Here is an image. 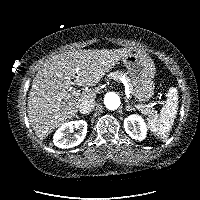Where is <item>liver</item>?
<instances>
[{
  "instance_id": "obj_1",
  "label": "liver",
  "mask_w": 200,
  "mask_h": 200,
  "mask_svg": "<svg viewBox=\"0 0 200 200\" xmlns=\"http://www.w3.org/2000/svg\"><path fill=\"white\" fill-rule=\"evenodd\" d=\"M131 49L72 50L49 58L32 81L29 122L40 140L77 115L85 99H95V86ZM74 80V82L72 81ZM83 86L80 92L72 85Z\"/></svg>"
}]
</instances>
